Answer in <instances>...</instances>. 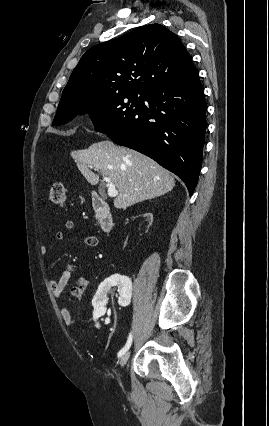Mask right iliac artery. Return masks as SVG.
I'll use <instances>...</instances> for the list:
<instances>
[{"label":"right iliac artery","mask_w":269,"mask_h":426,"mask_svg":"<svg viewBox=\"0 0 269 426\" xmlns=\"http://www.w3.org/2000/svg\"><path fill=\"white\" fill-rule=\"evenodd\" d=\"M132 337V333H130L125 346L119 351L118 357H121L130 348L132 343Z\"/></svg>","instance_id":"82829eb1"}]
</instances>
